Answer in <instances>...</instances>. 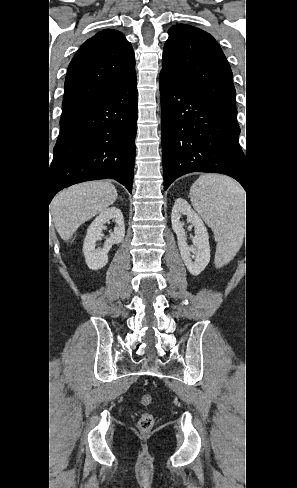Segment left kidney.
I'll return each instance as SVG.
<instances>
[{
  "instance_id": "1",
  "label": "left kidney",
  "mask_w": 297,
  "mask_h": 488,
  "mask_svg": "<svg viewBox=\"0 0 297 488\" xmlns=\"http://www.w3.org/2000/svg\"><path fill=\"white\" fill-rule=\"evenodd\" d=\"M182 215H186L188 221L195 228L193 246H188L186 242L185 230L180 221ZM171 223L172 229L177 235V243L181 257L188 271L192 275L197 276L205 269L210 261V246L207 228L198 214L183 198L175 200L172 208Z\"/></svg>"
}]
</instances>
